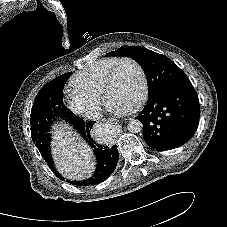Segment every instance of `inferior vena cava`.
Instances as JSON below:
<instances>
[{
    "instance_id": "602c4592",
    "label": "inferior vena cava",
    "mask_w": 227,
    "mask_h": 227,
    "mask_svg": "<svg viewBox=\"0 0 227 227\" xmlns=\"http://www.w3.org/2000/svg\"><path fill=\"white\" fill-rule=\"evenodd\" d=\"M101 117H102L101 113L96 110H90L85 113V118L89 120L97 121L101 119Z\"/></svg>"
}]
</instances>
